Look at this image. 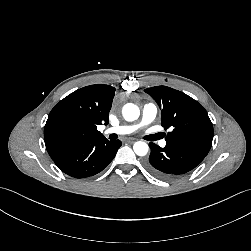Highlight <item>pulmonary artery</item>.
Masks as SVG:
<instances>
[{
  "label": "pulmonary artery",
  "mask_w": 251,
  "mask_h": 251,
  "mask_svg": "<svg viewBox=\"0 0 251 251\" xmlns=\"http://www.w3.org/2000/svg\"><path fill=\"white\" fill-rule=\"evenodd\" d=\"M157 116V107L153 103H147L142 108L141 118L135 124L121 125L116 127H111L105 130V134H130L135 132L141 127L151 124ZM162 146L166 145L165 141L161 142Z\"/></svg>",
  "instance_id": "obj_1"
}]
</instances>
